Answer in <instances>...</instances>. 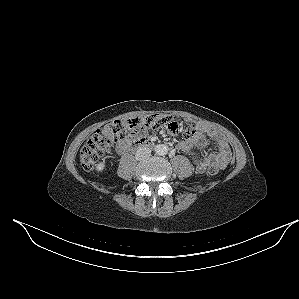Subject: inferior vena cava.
<instances>
[{
  "mask_svg": "<svg viewBox=\"0 0 299 299\" xmlns=\"http://www.w3.org/2000/svg\"><path fill=\"white\" fill-rule=\"evenodd\" d=\"M151 155V150L145 146L140 147L135 154V158L137 160H145L147 158H149Z\"/></svg>",
  "mask_w": 299,
  "mask_h": 299,
  "instance_id": "obj_1",
  "label": "inferior vena cava"
}]
</instances>
